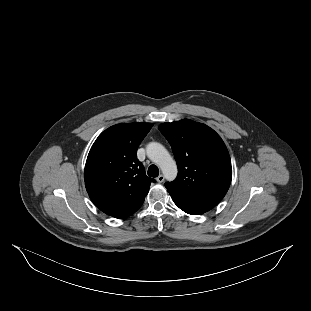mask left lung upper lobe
Returning <instances> with one entry per match:
<instances>
[{
    "mask_svg": "<svg viewBox=\"0 0 311 311\" xmlns=\"http://www.w3.org/2000/svg\"><path fill=\"white\" fill-rule=\"evenodd\" d=\"M159 130L170 143L178 167L177 178L165 183L168 192L216 206L232 178L231 160L223 140L207 125L189 119L163 123Z\"/></svg>",
    "mask_w": 311,
    "mask_h": 311,
    "instance_id": "left-lung-upper-lobe-1",
    "label": "left lung upper lobe"
}]
</instances>
